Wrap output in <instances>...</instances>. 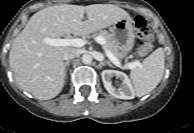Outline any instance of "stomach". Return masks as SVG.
I'll use <instances>...</instances> for the list:
<instances>
[{
    "label": "stomach",
    "instance_id": "1",
    "mask_svg": "<svg viewBox=\"0 0 194 133\" xmlns=\"http://www.w3.org/2000/svg\"><path fill=\"white\" fill-rule=\"evenodd\" d=\"M110 32L121 54L125 55L133 49L135 33L131 19L123 18L114 23Z\"/></svg>",
    "mask_w": 194,
    "mask_h": 133
}]
</instances>
